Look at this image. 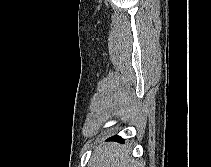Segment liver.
Returning a JSON list of instances; mask_svg holds the SVG:
<instances>
[{"mask_svg":"<svg viewBox=\"0 0 211 167\" xmlns=\"http://www.w3.org/2000/svg\"><path fill=\"white\" fill-rule=\"evenodd\" d=\"M90 167H139L140 164L131 159L125 146L108 143L97 148L90 160Z\"/></svg>","mask_w":211,"mask_h":167,"instance_id":"6515ba94","label":"liver"}]
</instances>
